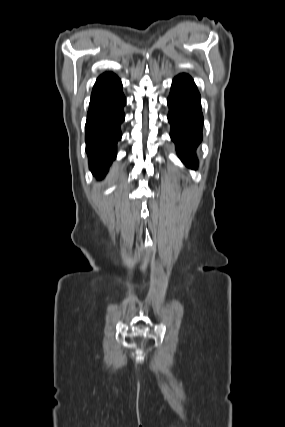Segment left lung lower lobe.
Listing matches in <instances>:
<instances>
[{
    "mask_svg": "<svg viewBox=\"0 0 285 427\" xmlns=\"http://www.w3.org/2000/svg\"><path fill=\"white\" fill-rule=\"evenodd\" d=\"M170 136L178 156L190 168L197 167L195 150L202 140L203 115L200 94L192 78L180 74L174 78L168 98Z\"/></svg>",
    "mask_w": 285,
    "mask_h": 427,
    "instance_id": "0a47b994",
    "label": "left lung lower lobe"
}]
</instances>
